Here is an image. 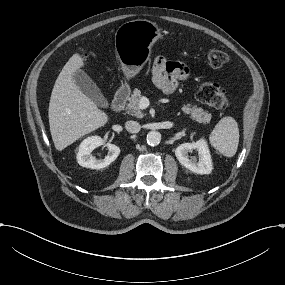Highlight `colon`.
Instances as JSON below:
<instances>
[{
	"label": "colon",
	"instance_id": "5ec220e1",
	"mask_svg": "<svg viewBox=\"0 0 285 285\" xmlns=\"http://www.w3.org/2000/svg\"><path fill=\"white\" fill-rule=\"evenodd\" d=\"M205 55L209 64L213 67H220L227 62V54L214 47H208ZM196 98L215 109L224 110L230 107L231 101L221 87L214 82H204L200 84L196 90Z\"/></svg>",
	"mask_w": 285,
	"mask_h": 285
}]
</instances>
